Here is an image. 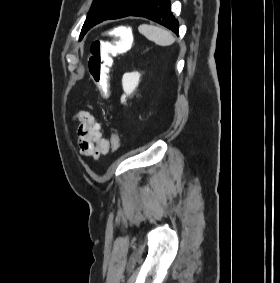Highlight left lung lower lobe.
Listing matches in <instances>:
<instances>
[{
  "label": "left lung lower lobe",
  "instance_id": "left-lung-lower-lobe-1",
  "mask_svg": "<svg viewBox=\"0 0 280 283\" xmlns=\"http://www.w3.org/2000/svg\"><path fill=\"white\" fill-rule=\"evenodd\" d=\"M128 16H140L148 18L178 34L179 24L171 12L170 0H146Z\"/></svg>",
  "mask_w": 280,
  "mask_h": 283
}]
</instances>
